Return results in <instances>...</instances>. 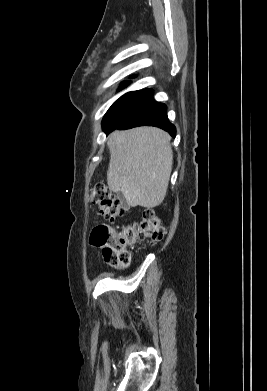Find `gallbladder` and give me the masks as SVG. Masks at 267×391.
<instances>
[{
  "label": "gallbladder",
  "mask_w": 267,
  "mask_h": 391,
  "mask_svg": "<svg viewBox=\"0 0 267 391\" xmlns=\"http://www.w3.org/2000/svg\"><path fill=\"white\" fill-rule=\"evenodd\" d=\"M117 195H118V198H119V199L124 200V196H123V194H122L121 192H118Z\"/></svg>",
  "instance_id": "bac80fb5"
}]
</instances>
